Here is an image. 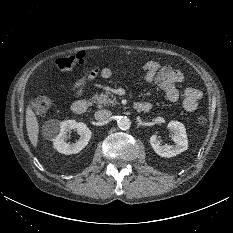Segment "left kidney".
Listing matches in <instances>:
<instances>
[{"mask_svg": "<svg viewBox=\"0 0 233 233\" xmlns=\"http://www.w3.org/2000/svg\"><path fill=\"white\" fill-rule=\"evenodd\" d=\"M168 128L174 133L172 137L174 145H162L157 135L150 137V144L153 150L161 157H174L188 149V139L185 126L179 121H170Z\"/></svg>", "mask_w": 233, "mask_h": 233, "instance_id": "obj_1", "label": "left kidney"}]
</instances>
